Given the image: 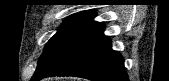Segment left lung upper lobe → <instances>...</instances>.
I'll return each mask as SVG.
<instances>
[{
    "label": "left lung upper lobe",
    "instance_id": "1",
    "mask_svg": "<svg viewBox=\"0 0 169 81\" xmlns=\"http://www.w3.org/2000/svg\"><path fill=\"white\" fill-rule=\"evenodd\" d=\"M95 12L82 11L68 17L57 33L48 41L31 80L48 72L58 61L71 40L84 28L92 24Z\"/></svg>",
    "mask_w": 169,
    "mask_h": 81
}]
</instances>
